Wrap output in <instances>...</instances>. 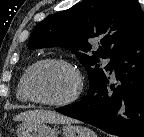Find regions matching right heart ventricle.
I'll return each instance as SVG.
<instances>
[{
    "label": "right heart ventricle",
    "mask_w": 144,
    "mask_h": 137,
    "mask_svg": "<svg viewBox=\"0 0 144 137\" xmlns=\"http://www.w3.org/2000/svg\"><path fill=\"white\" fill-rule=\"evenodd\" d=\"M25 75L26 72L21 76L18 87H17V99L21 102H28L30 101L29 98L27 97L25 91H24V80H25Z\"/></svg>",
    "instance_id": "1"
}]
</instances>
